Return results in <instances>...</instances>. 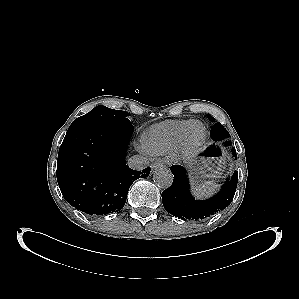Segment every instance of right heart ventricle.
<instances>
[{
    "label": "right heart ventricle",
    "mask_w": 299,
    "mask_h": 299,
    "mask_svg": "<svg viewBox=\"0 0 299 299\" xmlns=\"http://www.w3.org/2000/svg\"><path fill=\"white\" fill-rule=\"evenodd\" d=\"M190 122V120H175L152 126L143 138L145 147L156 155L173 150Z\"/></svg>",
    "instance_id": "right-heart-ventricle-1"
}]
</instances>
